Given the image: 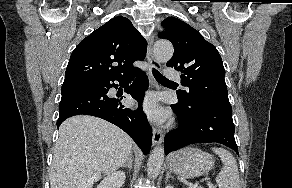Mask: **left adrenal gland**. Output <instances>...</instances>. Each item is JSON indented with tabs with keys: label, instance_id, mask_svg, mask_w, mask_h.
Segmentation results:
<instances>
[{
	"label": "left adrenal gland",
	"instance_id": "a2214340",
	"mask_svg": "<svg viewBox=\"0 0 292 188\" xmlns=\"http://www.w3.org/2000/svg\"><path fill=\"white\" fill-rule=\"evenodd\" d=\"M170 177H172V175H171V172L168 171L167 174H166L165 183H167V181H168V179H169Z\"/></svg>",
	"mask_w": 292,
	"mask_h": 188
}]
</instances>
